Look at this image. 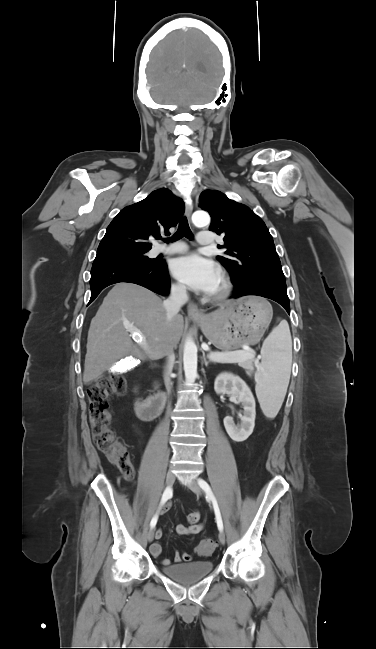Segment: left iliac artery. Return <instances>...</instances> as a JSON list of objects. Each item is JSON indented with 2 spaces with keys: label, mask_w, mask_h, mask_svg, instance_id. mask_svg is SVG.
Returning a JSON list of instances; mask_svg holds the SVG:
<instances>
[{
  "label": "left iliac artery",
  "mask_w": 376,
  "mask_h": 649,
  "mask_svg": "<svg viewBox=\"0 0 376 649\" xmlns=\"http://www.w3.org/2000/svg\"><path fill=\"white\" fill-rule=\"evenodd\" d=\"M198 484L202 488V490L206 493L207 498L212 501L213 508H214V511H215V516H216L217 526H218V529L220 531H222L223 530V521H222L220 509H219L217 500H216V498H215L209 484L206 481H204L203 479H199Z\"/></svg>",
  "instance_id": "1"
}]
</instances>
